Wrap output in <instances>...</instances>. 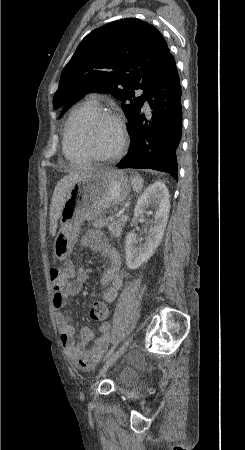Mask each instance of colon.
<instances>
[{"mask_svg": "<svg viewBox=\"0 0 245 450\" xmlns=\"http://www.w3.org/2000/svg\"><path fill=\"white\" fill-rule=\"evenodd\" d=\"M90 317L95 321H104L108 317V308L104 302H93L90 308Z\"/></svg>", "mask_w": 245, "mask_h": 450, "instance_id": "1", "label": "colon"}]
</instances>
